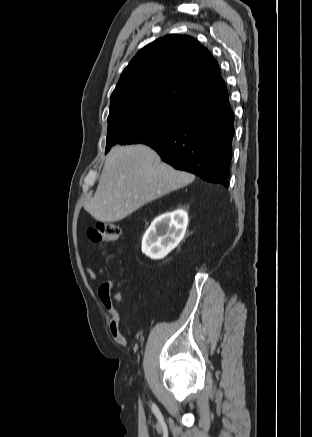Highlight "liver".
Wrapping results in <instances>:
<instances>
[{"label":"liver","instance_id":"obj_1","mask_svg":"<svg viewBox=\"0 0 312 437\" xmlns=\"http://www.w3.org/2000/svg\"><path fill=\"white\" fill-rule=\"evenodd\" d=\"M194 179L162 162L146 145L118 144L107 154L97 190L84 208L98 221H120Z\"/></svg>","mask_w":312,"mask_h":437}]
</instances>
